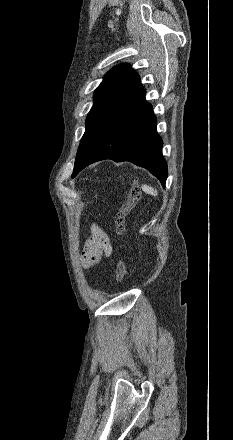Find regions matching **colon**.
<instances>
[{
  "mask_svg": "<svg viewBox=\"0 0 233 440\" xmlns=\"http://www.w3.org/2000/svg\"><path fill=\"white\" fill-rule=\"evenodd\" d=\"M140 199H141V190L135 184V182H132L130 185L127 199L124 202V204L119 208L116 215L115 235L118 240L125 233V224H126L127 215L136 207ZM126 275H127L126 263L124 258L120 257L115 272L116 282L120 283L125 278Z\"/></svg>",
  "mask_w": 233,
  "mask_h": 440,
  "instance_id": "colon-1",
  "label": "colon"
}]
</instances>
